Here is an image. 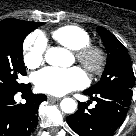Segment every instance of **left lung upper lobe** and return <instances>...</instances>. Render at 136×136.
<instances>
[{"label": "left lung upper lobe", "instance_id": "1", "mask_svg": "<svg viewBox=\"0 0 136 136\" xmlns=\"http://www.w3.org/2000/svg\"><path fill=\"white\" fill-rule=\"evenodd\" d=\"M107 50V65L101 80L88 90L99 92L106 89H132L134 73L126 48L104 27H97Z\"/></svg>", "mask_w": 136, "mask_h": 136}]
</instances>
